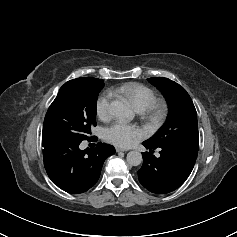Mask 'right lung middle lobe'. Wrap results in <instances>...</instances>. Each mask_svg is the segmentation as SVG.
<instances>
[{"instance_id": "right-lung-middle-lobe-1", "label": "right lung middle lobe", "mask_w": 237, "mask_h": 237, "mask_svg": "<svg viewBox=\"0 0 237 237\" xmlns=\"http://www.w3.org/2000/svg\"><path fill=\"white\" fill-rule=\"evenodd\" d=\"M103 87V80L92 77L66 82L46 113L43 133H57L78 141L89 139L91 126L96 125L98 93Z\"/></svg>"}]
</instances>
